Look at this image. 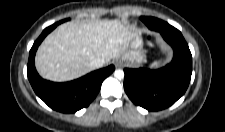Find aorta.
<instances>
[{"mask_svg":"<svg viewBox=\"0 0 225 132\" xmlns=\"http://www.w3.org/2000/svg\"><path fill=\"white\" fill-rule=\"evenodd\" d=\"M114 76H115L116 79L121 80V79L124 78V71L122 69H117L114 72Z\"/></svg>","mask_w":225,"mask_h":132,"instance_id":"1","label":"aorta"}]
</instances>
